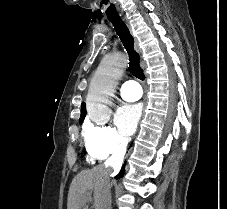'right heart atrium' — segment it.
<instances>
[{
  "label": "right heart atrium",
  "mask_w": 227,
  "mask_h": 209,
  "mask_svg": "<svg viewBox=\"0 0 227 209\" xmlns=\"http://www.w3.org/2000/svg\"><path fill=\"white\" fill-rule=\"evenodd\" d=\"M84 141L88 153L98 160H106L122 155L129 138L112 125H86Z\"/></svg>",
  "instance_id": "right-heart-atrium-1"
}]
</instances>
